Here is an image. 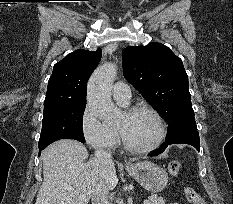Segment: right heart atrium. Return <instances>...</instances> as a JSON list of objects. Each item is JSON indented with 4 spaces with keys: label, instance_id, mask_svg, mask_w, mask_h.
Masks as SVG:
<instances>
[{
    "label": "right heart atrium",
    "instance_id": "obj_1",
    "mask_svg": "<svg viewBox=\"0 0 233 204\" xmlns=\"http://www.w3.org/2000/svg\"><path fill=\"white\" fill-rule=\"evenodd\" d=\"M81 133L86 143L96 149H112L118 142L116 130L103 122L90 104L81 114Z\"/></svg>",
    "mask_w": 233,
    "mask_h": 204
}]
</instances>
